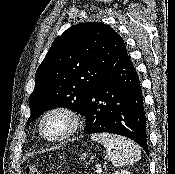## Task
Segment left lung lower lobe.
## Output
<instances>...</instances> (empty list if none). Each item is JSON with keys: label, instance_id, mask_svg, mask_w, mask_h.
<instances>
[{"label": "left lung lower lobe", "instance_id": "0a47b994", "mask_svg": "<svg viewBox=\"0 0 175 174\" xmlns=\"http://www.w3.org/2000/svg\"><path fill=\"white\" fill-rule=\"evenodd\" d=\"M85 102L84 134L122 135L149 153L141 85L126 49L112 70L87 94Z\"/></svg>", "mask_w": 175, "mask_h": 174}]
</instances>
